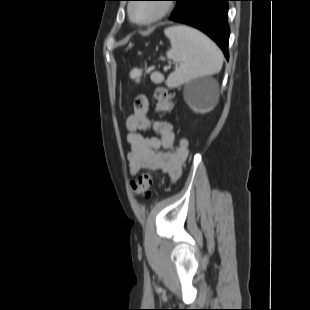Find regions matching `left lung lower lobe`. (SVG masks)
Segmentation results:
<instances>
[{
  "mask_svg": "<svg viewBox=\"0 0 310 310\" xmlns=\"http://www.w3.org/2000/svg\"><path fill=\"white\" fill-rule=\"evenodd\" d=\"M228 1L232 0H186L182 10L172 20L207 34L229 59Z\"/></svg>",
  "mask_w": 310,
  "mask_h": 310,
  "instance_id": "1",
  "label": "left lung lower lobe"
}]
</instances>
